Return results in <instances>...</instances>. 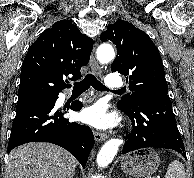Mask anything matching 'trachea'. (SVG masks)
Instances as JSON below:
<instances>
[{
    "label": "trachea",
    "mask_w": 194,
    "mask_h": 178,
    "mask_svg": "<svg viewBox=\"0 0 194 178\" xmlns=\"http://www.w3.org/2000/svg\"><path fill=\"white\" fill-rule=\"evenodd\" d=\"M90 86H92L94 89L99 91H109V89L103 85L93 74L88 73L86 77L80 81L74 83L73 91L75 92H84L86 91ZM121 90H118L120 92Z\"/></svg>",
    "instance_id": "trachea-1"
}]
</instances>
